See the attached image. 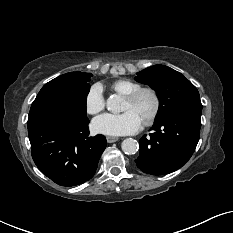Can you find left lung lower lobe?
<instances>
[{
  "label": "left lung lower lobe",
  "mask_w": 233,
  "mask_h": 233,
  "mask_svg": "<svg viewBox=\"0 0 233 233\" xmlns=\"http://www.w3.org/2000/svg\"><path fill=\"white\" fill-rule=\"evenodd\" d=\"M200 109H182L157 118L152 133L140 139L137 167L151 175L168 174L181 168L197 146Z\"/></svg>",
  "instance_id": "1"
}]
</instances>
